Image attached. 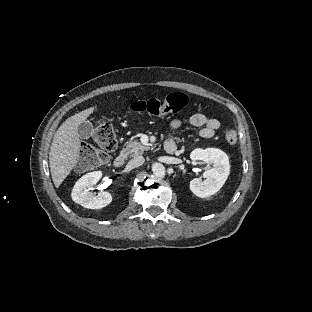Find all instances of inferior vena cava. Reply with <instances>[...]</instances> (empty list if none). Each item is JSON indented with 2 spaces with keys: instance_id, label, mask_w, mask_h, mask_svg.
I'll return each mask as SVG.
<instances>
[{
  "instance_id": "602c4592",
  "label": "inferior vena cava",
  "mask_w": 312,
  "mask_h": 312,
  "mask_svg": "<svg viewBox=\"0 0 312 312\" xmlns=\"http://www.w3.org/2000/svg\"><path fill=\"white\" fill-rule=\"evenodd\" d=\"M144 162H145L144 157H142V156H135L133 159H131V160L129 161V165H130L131 167H138V166L143 165Z\"/></svg>"
}]
</instances>
